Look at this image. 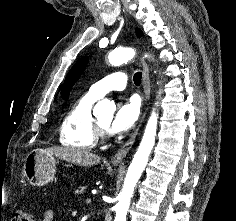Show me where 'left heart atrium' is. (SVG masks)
<instances>
[{
	"label": "left heart atrium",
	"instance_id": "obj_1",
	"mask_svg": "<svg viewBox=\"0 0 236 221\" xmlns=\"http://www.w3.org/2000/svg\"><path fill=\"white\" fill-rule=\"evenodd\" d=\"M139 116V103L135 98L120 102L117 110L108 124L111 133H121L129 130Z\"/></svg>",
	"mask_w": 236,
	"mask_h": 221
}]
</instances>
